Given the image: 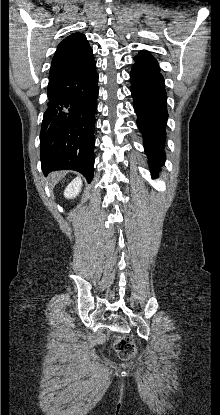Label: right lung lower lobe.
I'll return each mask as SVG.
<instances>
[{
  "label": "right lung lower lobe",
  "instance_id": "right-lung-lower-lobe-1",
  "mask_svg": "<svg viewBox=\"0 0 220 415\" xmlns=\"http://www.w3.org/2000/svg\"><path fill=\"white\" fill-rule=\"evenodd\" d=\"M94 59L73 71L49 78L48 107L44 113L40 150L47 175L54 170H75L93 178L94 128L98 74Z\"/></svg>",
  "mask_w": 220,
  "mask_h": 415
}]
</instances>
